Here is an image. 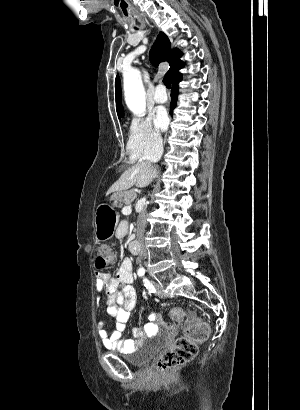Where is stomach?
<instances>
[{
    "mask_svg": "<svg viewBox=\"0 0 300 410\" xmlns=\"http://www.w3.org/2000/svg\"><path fill=\"white\" fill-rule=\"evenodd\" d=\"M119 195L120 192H117L111 196V200L114 201L113 206L101 205L97 208L95 216V235L98 241H106L115 233L119 216L114 206H116Z\"/></svg>",
    "mask_w": 300,
    "mask_h": 410,
    "instance_id": "1",
    "label": "stomach"
}]
</instances>
